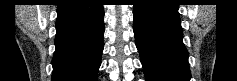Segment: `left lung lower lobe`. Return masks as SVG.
I'll return each mask as SVG.
<instances>
[{
    "label": "left lung lower lobe",
    "mask_w": 237,
    "mask_h": 81,
    "mask_svg": "<svg viewBox=\"0 0 237 81\" xmlns=\"http://www.w3.org/2000/svg\"><path fill=\"white\" fill-rule=\"evenodd\" d=\"M133 6V30L146 81H189L177 1L139 0Z\"/></svg>",
    "instance_id": "1"
}]
</instances>
